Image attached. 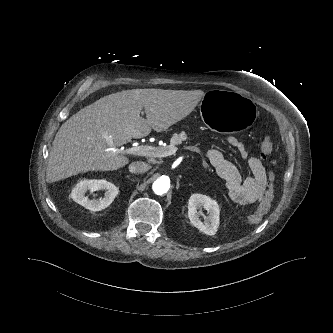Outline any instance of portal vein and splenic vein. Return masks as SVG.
Wrapping results in <instances>:
<instances>
[{"label":"portal vein and splenic vein","instance_id":"18ae733b","mask_svg":"<svg viewBox=\"0 0 333 333\" xmlns=\"http://www.w3.org/2000/svg\"><path fill=\"white\" fill-rule=\"evenodd\" d=\"M114 152L118 151L124 154L138 155V156H148V157H167L176 153L178 150L177 147L168 146V147H152V146H143L135 145L126 149H112Z\"/></svg>","mask_w":333,"mask_h":333}]
</instances>
